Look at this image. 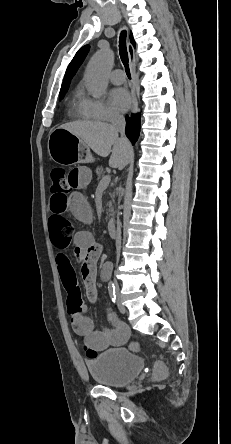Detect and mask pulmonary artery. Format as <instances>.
<instances>
[{
    "mask_svg": "<svg viewBox=\"0 0 231 444\" xmlns=\"http://www.w3.org/2000/svg\"><path fill=\"white\" fill-rule=\"evenodd\" d=\"M126 76L123 70L116 69L112 71L110 75V80L113 84L120 85L125 82Z\"/></svg>",
    "mask_w": 231,
    "mask_h": 444,
    "instance_id": "obj_1",
    "label": "pulmonary artery"
}]
</instances>
